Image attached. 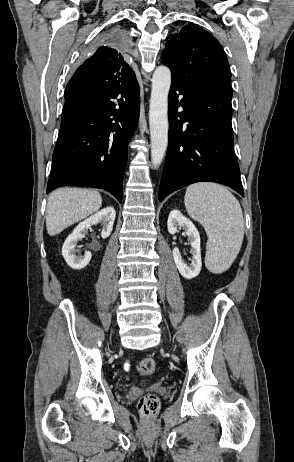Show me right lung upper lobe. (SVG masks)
I'll return each instance as SVG.
<instances>
[{
  "instance_id": "obj_1",
  "label": "right lung upper lobe",
  "mask_w": 294,
  "mask_h": 462,
  "mask_svg": "<svg viewBox=\"0 0 294 462\" xmlns=\"http://www.w3.org/2000/svg\"><path fill=\"white\" fill-rule=\"evenodd\" d=\"M135 73L112 46H101L74 73L65 94H94L128 83Z\"/></svg>"
}]
</instances>
